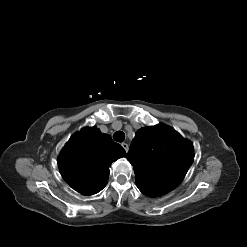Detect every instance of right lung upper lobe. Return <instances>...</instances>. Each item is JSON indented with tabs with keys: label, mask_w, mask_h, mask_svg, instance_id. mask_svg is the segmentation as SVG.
Here are the masks:
<instances>
[{
	"label": "right lung upper lobe",
	"mask_w": 247,
	"mask_h": 247,
	"mask_svg": "<svg viewBox=\"0 0 247 247\" xmlns=\"http://www.w3.org/2000/svg\"><path fill=\"white\" fill-rule=\"evenodd\" d=\"M121 145L94 127L83 128L65 144L58 157L63 179L77 192L93 195L107 184L113 161L125 157Z\"/></svg>",
	"instance_id": "obj_1"
}]
</instances>
